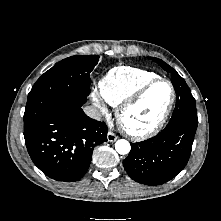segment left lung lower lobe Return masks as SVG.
I'll list each match as a JSON object with an SVG mask.
<instances>
[{
	"mask_svg": "<svg viewBox=\"0 0 221 221\" xmlns=\"http://www.w3.org/2000/svg\"><path fill=\"white\" fill-rule=\"evenodd\" d=\"M186 95L176 91V107H190ZM197 126L184 122L168 123L156 136L131 143V151L123 161L128 175L136 182L156 186L174 178L186 166Z\"/></svg>",
	"mask_w": 221,
	"mask_h": 221,
	"instance_id": "left-lung-lower-lobe-1",
	"label": "left lung lower lobe"
}]
</instances>
